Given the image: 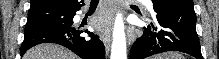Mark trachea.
<instances>
[{
	"instance_id": "3493384b",
	"label": "trachea",
	"mask_w": 219,
	"mask_h": 59,
	"mask_svg": "<svg viewBox=\"0 0 219 59\" xmlns=\"http://www.w3.org/2000/svg\"><path fill=\"white\" fill-rule=\"evenodd\" d=\"M99 1L98 0H91L90 2V8H96V6L98 5Z\"/></svg>"
}]
</instances>
